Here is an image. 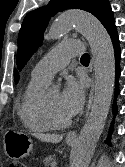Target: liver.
I'll return each mask as SVG.
<instances>
[{
    "label": "liver",
    "mask_w": 125,
    "mask_h": 167,
    "mask_svg": "<svg viewBox=\"0 0 125 167\" xmlns=\"http://www.w3.org/2000/svg\"><path fill=\"white\" fill-rule=\"evenodd\" d=\"M35 137L40 139L43 142L59 143L62 139V135L56 134H34Z\"/></svg>",
    "instance_id": "1"
}]
</instances>
